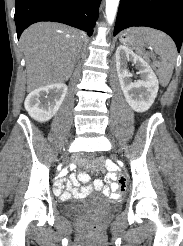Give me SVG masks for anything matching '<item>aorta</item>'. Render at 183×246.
<instances>
[{"instance_id":"762f6f07","label":"aorta","mask_w":183,"mask_h":246,"mask_svg":"<svg viewBox=\"0 0 183 246\" xmlns=\"http://www.w3.org/2000/svg\"><path fill=\"white\" fill-rule=\"evenodd\" d=\"M120 0H106V20L109 24L114 22Z\"/></svg>"}]
</instances>
